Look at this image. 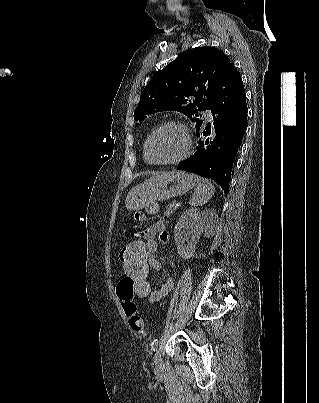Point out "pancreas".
Here are the masks:
<instances>
[{
	"instance_id": "cf45deb5",
	"label": "pancreas",
	"mask_w": 319,
	"mask_h": 403,
	"mask_svg": "<svg viewBox=\"0 0 319 403\" xmlns=\"http://www.w3.org/2000/svg\"><path fill=\"white\" fill-rule=\"evenodd\" d=\"M178 206L174 202L172 204H169L166 206V211L164 212V215L166 217H171L173 213L177 210Z\"/></svg>"
}]
</instances>
